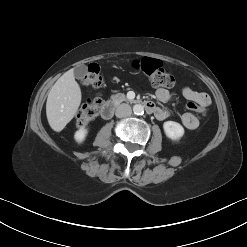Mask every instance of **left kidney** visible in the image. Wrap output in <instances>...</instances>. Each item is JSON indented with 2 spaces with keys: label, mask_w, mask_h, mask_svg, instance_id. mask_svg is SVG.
<instances>
[{
  "label": "left kidney",
  "mask_w": 247,
  "mask_h": 247,
  "mask_svg": "<svg viewBox=\"0 0 247 247\" xmlns=\"http://www.w3.org/2000/svg\"><path fill=\"white\" fill-rule=\"evenodd\" d=\"M163 129L168 138L178 141L184 135V128L177 122L166 121L163 124Z\"/></svg>",
  "instance_id": "5707ae66"
}]
</instances>
